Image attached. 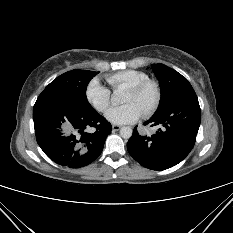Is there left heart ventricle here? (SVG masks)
<instances>
[{"label":"left heart ventricle","instance_id":"obj_1","mask_svg":"<svg viewBox=\"0 0 233 233\" xmlns=\"http://www.w3.org/2000/svg\"><path fill=\"white\" fill-rule=\"evenodd\" d=\"M154 96L155 92L152 87L146 89L142 94H135L131 91H127L122 102L125 104L134 103L144 112L148 105L153 101Z\"/></svg>","mask_w":233,"mask_h":233}]
</instances>
